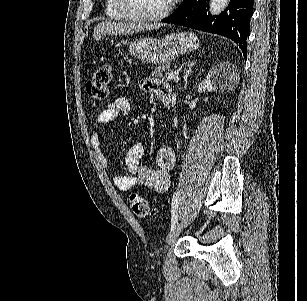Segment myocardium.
Wrapping results in <instances>:
<instances>
[{
    "label": "myocardium",
    "instance_id": "myocardium-1",
    "mask_svg": "<svg viewBox=\"0 0 307 301\" xmlns=\"http://www.w3.org/2000/svg\"><path fill=\"white\" fill-rule=\"evenodd\" d=\"M128 1L131 0H117L115 2L119 12L118 17H125L126 22H161V18L167 16L173 4L172 0H168L161 11H132L126 10L129 8Z\"/></svg>",
    "mask_w": 307,
    "mask_h": 301
}]
</instances>
